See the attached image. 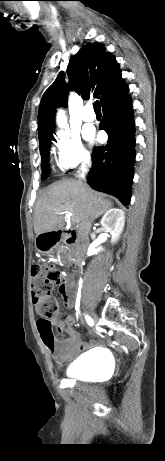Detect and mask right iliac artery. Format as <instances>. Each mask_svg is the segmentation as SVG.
<instances>
[{"mask_svg":"<svg viewBox=\"0 0 165 461\" xmlns=\"http://www.w3.org/2000/svg\"><path fill=\"white\" fill-rule=\"evenodd\" d=\"M79 305H76V309L78 310ZM86 321L89 325H93V320L89 316H85Z\"/></svg>","mask_w":165,"mask_h":461,"instance_id":"82829eb1","label":"right iliac artery"}]
</instances>
